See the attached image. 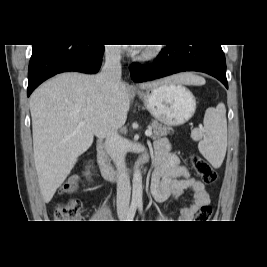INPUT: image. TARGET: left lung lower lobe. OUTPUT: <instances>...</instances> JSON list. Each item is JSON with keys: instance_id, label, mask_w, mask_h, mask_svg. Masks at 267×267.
I'll list each match as a JSON object with an SVG mask.
<instances>
[{"instance_id": "left-lung-lower-lobe-1", "label": "left lung lower lobe", "mask_w": 267, "mask_h": 267, "mask_svg": "<svg viewBox=\"0 0 267 267\" xmlns=\"http://www.w3.org/2000/svg\"><path fill=\"white\" fill-rule=\"evenodd\" d=\"M159 61L130 66L131 77L135 82H145L178 72H204L220 80L228 88L226 61L220 45L171 44L158 55Z\"/></svg>"}]
</instances>
